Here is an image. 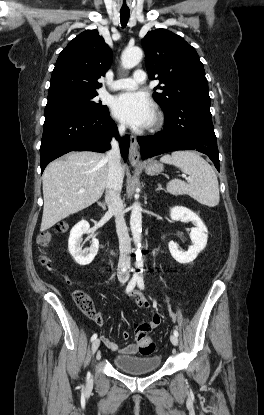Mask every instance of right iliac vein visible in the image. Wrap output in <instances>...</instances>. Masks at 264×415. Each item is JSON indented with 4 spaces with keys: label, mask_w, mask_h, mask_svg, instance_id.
Segmentation results:
<instances>
[{
    "label": "right iliac vein",
    "mask_w": 264,
    "mask_h": 415,
    "mask_svg": "<svg viewBox=\"0 0 264 415\" xmlns=\"http://www.w3.org/2000/svg\"><path fill=\"white\" fill-rule=\"evenodd\" d=\"M99 346H100V340L96 338L92 343V353L93 354L98 350Z\"/></svg>",
    "instance_id": "1"
}]
</instances>
